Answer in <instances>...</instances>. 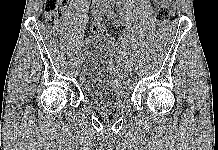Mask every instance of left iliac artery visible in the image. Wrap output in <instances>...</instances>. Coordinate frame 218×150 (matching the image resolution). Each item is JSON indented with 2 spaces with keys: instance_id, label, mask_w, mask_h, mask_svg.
Instances as JSON below:
<instances>
[{
  "instance_id": "1",
  "label": "left iliac artery",
  "mask_w": 218,
  "mask_h": 150,
  "mask_svg": "<svg viewBox=\"0 0 218 150\" xmlns=\"http://www.w3.org/2000/svg\"><path fill=\"white\" fill-rule=\"evenodd\" d=\"M111 1H114V0H110V2H109V4H112V2ZM110 18L111 17H113L114 18V24H119L120 22H119V15H117L116 13H113V14H109L108 15ZM136 68H135V66L132 64V65H128V72L129 71H134Z\"/></svg>"
}]
</instances>
